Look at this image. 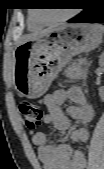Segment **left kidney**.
<instances>
[{"instance_id":"1","label":"left kidney","mask_w":104,"mask_h":169,"mask_svg":"<svg viewBox=\"0 0 104 169\" xmlns=\"http://www.w3.org/2000/svg\"><path fill=\"white\" fill-rule=\"evenodd\" d=\"M100 64H103V58L101 57ZM99 95L102 97L103 96V90H99Z\"/></svg>"}]
</instances>
